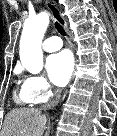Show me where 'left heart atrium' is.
Here are the masks:
<instances>
[{"mask_svg":"<svg viewBox=\"0 0 117 136\" xmlns=\"http://www.w3.org/2000/svg\"><path fill=\"white\" fill-rule=\"evenodd\" d=\"M73 66V57L67 50L51 55L46 63L51 81L59 87L68 83L73 72Z\"/></svg>","mask_w":117,"mask_h":136,"instance_id":"39dd6f15","label":"left heart atrium"}]
</instances>
